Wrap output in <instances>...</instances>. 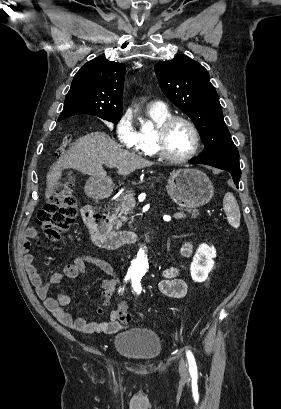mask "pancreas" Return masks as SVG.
Segmentation results:
<instances>
[{
	"mask_svg": "<svg viewBox=\"0 0 281 409\" xmlns=\"http://www.w3.org/2000/svg\"><path fill=\"white\" fill-rule=\"evenodd\" d=\"M128 193H135L134 190H125L123 192L122 196L120 198H117V200H120V205H117V209H113L111 217H113V225H115L114 229H120L122 227L123 221H127L126 215H128L129 211H124L125 208L124 206V201L127 199ZM128 209H133V208H128ZM190 213H192V219L194 217H198L199 211L198 209H191Z\"/></svg>",
	"mask_w": 281,
	"mask_h": 409,
	"instance_id": "obj_1",
	"label": "pancreas"
}]
</instances>
